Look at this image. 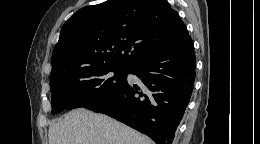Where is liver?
<instances>
[{"mask_svg": "<svg viewBox=\"0 0 260 144\" xmlns=\"http://www.w3.org/2000/svg\"><path fill=\"white\" fill-rule=\"evenodd\" d=\"M49 144H152L134 129L83 108L65 114L48 132Z\"/></svg>", "mask_w": 260, "mask_h": 144, "instance_id": "1", "label": "liver"}]
</instances>
